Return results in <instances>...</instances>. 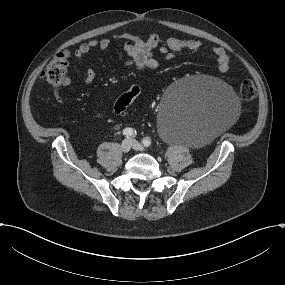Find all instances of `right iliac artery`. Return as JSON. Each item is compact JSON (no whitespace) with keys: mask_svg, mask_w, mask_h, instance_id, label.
Masks as SVG:
<instances>
[{"mask_svg":"<svg viewBox=\"0 0 285 285\" xmlns=\"http://www.w3.org/2000/svg\"><path fill=\"white\" fill-rule=\"evenodd\" d=\"M137 134L136 130L132 128H125L123 130V135H125L127 138L135 137Z\"/></svg>","mask_w":285,"mask_h":285,"instance_id":"obj_1","label":"right iliac artery"}]
</instances>
